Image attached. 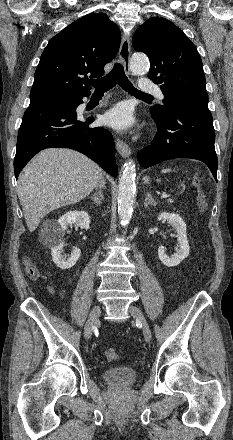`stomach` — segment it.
Returning <instances> with one entry per match:
<instances>
[{
	"label": "stomach",
	"mask_w": 233,
	"mask_h": 440,
	"mask_svg": "<svg viewBox=\"0 0 233 440\" xmlns=\"http://www.w3.org/2000/svg\"><path fill=\"white\" fill-rule=\"evenodd\" d=\"M143 180H144V182H145V183H149V181H150V178H149V177H144V179H143Z\"/></svg>",
	"instance_id": "stomach-1"
}]
</instances>
